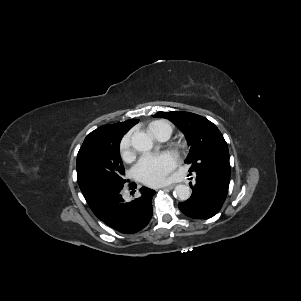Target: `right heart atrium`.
Segmentation results:
<instances>
[{
    "mask_svg": "<svg viewBox=\"0 0 301 301\" xmlns=\"http://www.w3.org/2000/svg\"><path fill=\"white\" fill-rule=\"evenodd\" d=\"M119 151L121 158L125 162H130L134 159L135 153L132 148V135L131 132L126 133L120 140Z\"/></svg>",
    "mask_w": 301,
    "mask_h": 301,
    "instance_id": "d8ad5b80",
    "label": "right heart atrium"
}]
</instances>
